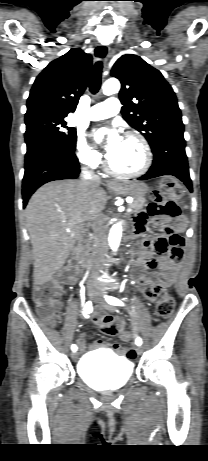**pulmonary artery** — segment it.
<instances>
[{
	"mask_svg": "<svg viewBox=\"0 0 208 461\" xmlns=\"http://www.w3.org/2000/svg\"><path fill=\"white\" fill-rule=\"evenodd\" d=\"M120 110V102L117 98H108L104 102L91 107L87 117L89 120L96 121L116 115Z\"/></svg>",
	"mask_w": 208,
	"mask_h": 461,
	"instance_id": "pulmonary-artery-1",
	"label": "pulmonary artery"
}]
</instances>
